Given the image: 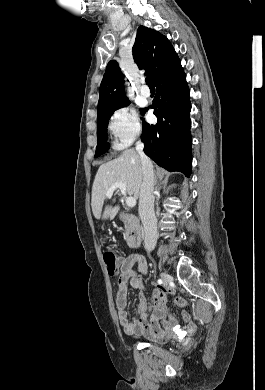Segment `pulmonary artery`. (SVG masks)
<instances>
[{
  "label": "pulmonary artery",
  "mask_w": 265,
  "mask_h": 390,
  "mask_svg": "<svg viewBox=\"0 0 265 390\" xmlns=\"http://www.w3.org/2000/svg\"><path fill=\"white\" fill-rule=\"evenodd\" d=\"M140 94H141V96H143V97H145V98L149 97V96H150V90H149V88H148L146 85L143 84V85L140 87Z\"/></svg>",
  "instance_id": "pulmonary-artery-1"
}]
</instances>
